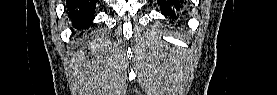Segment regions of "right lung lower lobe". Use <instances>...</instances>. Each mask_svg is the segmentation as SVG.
Listing matches in <instances>:
<instances>
[{"label": "right lung lower lobe", "instance_id": "98d812e1", "mask_svg": "<svg viewBox=\"0 0 277 95\" xmlns=\"http://www.w3.org/2000/svg\"><path fill=\"white\" fill-rule=\"evenodd\" d=\"M97 0H67V12L77 30H86L94 19Z\"/></svg>", "mask_w": 277, "mask_h": 95}]
</instances>
